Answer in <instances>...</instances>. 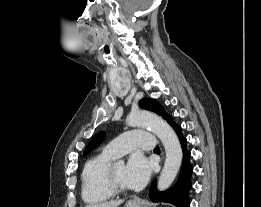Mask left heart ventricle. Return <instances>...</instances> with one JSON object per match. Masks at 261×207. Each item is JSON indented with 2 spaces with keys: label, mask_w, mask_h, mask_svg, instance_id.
<instances>
[{
  "label": "left heart ventricle",
  "mask_w": 261,
  "mask_h": 207,
  "mask_svg": "<svg viewBox=\"0 0 261 207\" xmlns=\"http://www.w3.org/2000/svg\"><path fill=\"white\" fill-rule=\"evenodd\" d=\"M125 170L126 166L124 164L114 165V175L117 183L124 188H129L125 180Z\"/></svg>",
  "instance_id": "obj_1"
}]
</instances>
